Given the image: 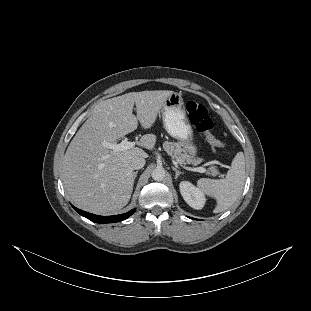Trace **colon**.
I'll list each match as a JSON object with an SVG mask.
<instances>
[{"label":"colon","instance_id":"5ec220e1","mask_svg":"<svg viewBox=\"0 0 311 311\" xmlns=\"http://www.w3.org/2000/svg\"><path fill=\"white\" fill-rule=\"evenodd\" d=\"M185 108L190 122L196 129L203 133L207 142L213 149H220L223 143L213 132V121L208 113L207 108L196 100L189 99L186 101Z\"/></svg>","mask_w":311,"mask_h":311}]
</instances>
